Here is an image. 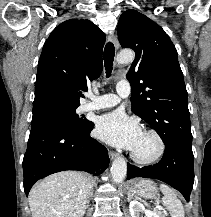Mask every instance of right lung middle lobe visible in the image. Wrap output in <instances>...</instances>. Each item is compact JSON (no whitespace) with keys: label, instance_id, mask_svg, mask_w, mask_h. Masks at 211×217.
<instances>
[{"label":"right lung middle lobe","instance_id":"1","mask_svg":"<svg viewBox=\"0 0 211 217\" xmlns=\"http://www.w3.org/2000/svg\"><path fill=\"white\" fill-rule=\"evenodd\" d=\"M89 121L80 118L76 109L50 112L40 117L32 119L31 128L56 126L75 133L85 130Z\"/></svg>","mask_w":211,"mask_h":217}]
</instances>
